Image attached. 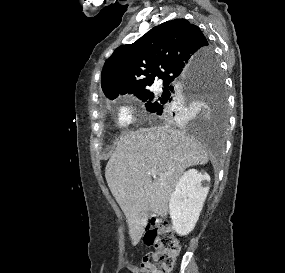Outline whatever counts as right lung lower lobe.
Here are the masks:
<instances>
[{"label": "right lung lower lobe", "instance_id": "98d812e1", "mask_svg": "<svg viewBox=\"0 0 285 273\" xmlns=\"http://www.w3.org/2000/svg\"><path fill=\"white\" fill-rule=\"evenodd\" d=\"M207 65H208V62H207L206 57L202 58L200 60V62L198 64H196L192 70L188 71L183 76H180V77L176 78L174 81H172L170 83V89H174V88H179L181 90L187 89L188 87H190L192 85V78L196 74L202 73L204 71V69L207 67ZM162 109L163 108H160L156 112V114L162 115Z\"/></svg>", "mask_w": 285, "mask_h": 273}]
</instances>
